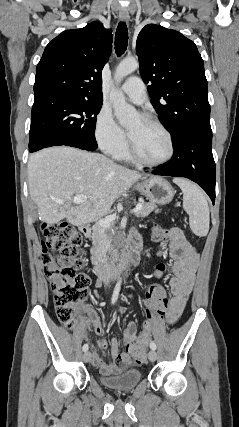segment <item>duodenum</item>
Segmentation results:
<instances>
[{"mask_svg": "<svg viewBox=\"0 0 239 427\" xmlns=\"http://www.w3.org/2000/svg\"><path fill=\"white\" fill-rule=\"evenodd\" d=\"M86 237L91 236V229L88 226L81 228ZM141 244L132 243L130 249L120 258V260L110 265L96 252H92L91 263L94 273L103 281L115 280L126 269L135 266L139 261Z\"/></svg>", "mask_w": 239, "mask_h": 427, "instance_id": "410a0bca", "label": "duodenum"}]
</instances>
